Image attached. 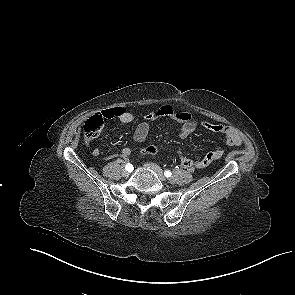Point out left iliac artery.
Wrapping results in <instances>:
<instances>
[{
  "label": "left iliac artery",
  "instance_id": "44dca946",
  "mask_svg": "<svg viewBox=\"0 0 295 295\" xmlns=\"http://www.w3.org/2000/svg\"><path fill=\"white\" fill-rule=\"evenodd\" d=\"M164 175H165V177H170L172 175V173L170 170H165Z\"/></svg>",
  "mask_w": 295,
  "mask_h": 295
}]
</instances>
